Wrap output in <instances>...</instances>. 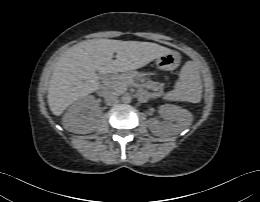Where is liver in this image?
<instances>
[{"label": "liver", "instance_id": "liver-1", "mask_svg": "<svg viewBox=\"0 0 260 202\" xmlns=\"http://www.w3.org/2000/svg\"><path fill=\"white\" fill-rule=\"evenodd\" d=\"M172 50L152 42L92 39L61 55L48 88L51 112L60 116L73 102L98 90L96 71L106 75L141 68ZM116 59L113 60V54Z\"/></svg>", "mask_w": 260, "mask_h": 202}]
</instances>
